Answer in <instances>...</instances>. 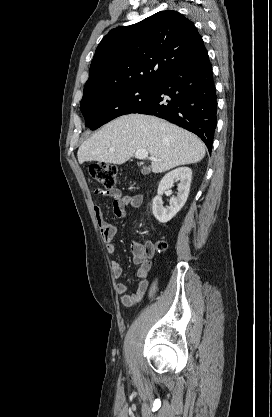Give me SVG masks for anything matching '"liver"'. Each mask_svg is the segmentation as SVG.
<instances>
[{"instance_id": "6515ba94", "label": "liver", "mask_w": 272, "mask_h": 417, "mask_svg": "<svg viewBox=\"0 0 272 417\" xmlns=\"http://www.w3.org/2000/svg\"><path fill=\"white\" fill-rule=\"evenodd\" d=\"M111 148L115 151L110 152ZM138 150H146L157 159L151 164L153 173L197 163L205 156V145L198 137L143 114L124 115L107 123L81 144L77 156L80 164L98 161L121 165Z\"/></svg>"}]
</instances>
